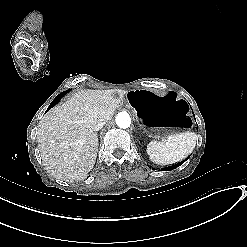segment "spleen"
I'll use <instances>...</instances> for the list:
<instances>
[{"label": "spleen", "mask_w": 247, "mask_h": 247, "mask_svg": "<svg viewBox=\"0 0 247 247\" xmlns=\"http://www.w3.org/2000/svg\"><path fill=\"white\" fill-rule=\"evenodd\" d=\"M196 139L197 135L194 132L171 135L162 141H151L146 151L150 160L155 164H173L192 153L196 145Z\"/></svg>", "instance_id": "obj_1"}]
</instances>
